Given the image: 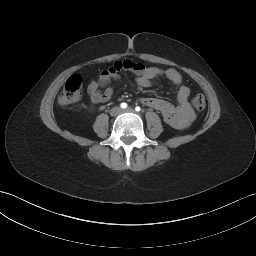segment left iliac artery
<instances>
[{"mask_svg":"<svg viewBox=\"0 0 256 256\" xmlns=\"http://www.w3.org/2000/svg\"><path fill=\"white\" fill-rule=\"evenodd\" d=\"M135 110H136L137 112H139V111H141V108H140L139 106H136V107H135Z\"/></svg>","mask_w":256,"mask_h":256,"instance_id":"obj_1","label":"left iliac artery"}]
</instances>
